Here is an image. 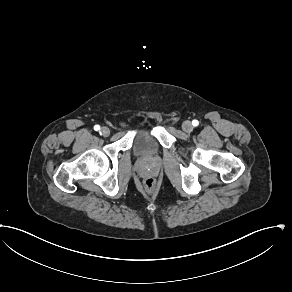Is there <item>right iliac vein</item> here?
I'll return each instance as SVG.
<instances>
[{"label":"right iliac vein","instance_id":"obj_1","mask_svg":"<svg viewBox=\"0 0 292 292\" xmlns=\"http://www.w3.org/2000/svg\"><path fill=\"white\" fill-rule=\"evenodd\" d=\"M100 134L104 137H107L110 135V129L108 127L104 126L101 128Z\"/></svg>","mask_w":292,"mask_h":292}]
</instances>
